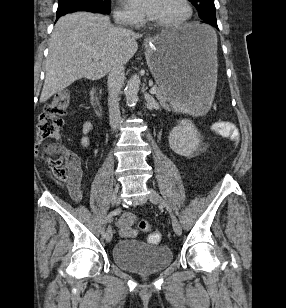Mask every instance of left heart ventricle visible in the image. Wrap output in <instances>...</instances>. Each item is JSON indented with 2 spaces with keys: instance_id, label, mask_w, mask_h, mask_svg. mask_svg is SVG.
Returning <instances> with one entry per match:
<instances>
[{
  "instance_id": "b2bd125f",
  "label": "left heart ventricle",
  "mask_w": 286,
  "mask_h": 308,
  "mask_svg": "<svg viewBox=\"0 0 286 308\" xmlns=\"http://www.w3.org/2000/svg\"><path fill=\"white\" fill-rule=\"evenodd\" d=\"M186 14V9L181 0H158L154 21L174 22L182 19Z\"/></svg>"
}]
</instances>
